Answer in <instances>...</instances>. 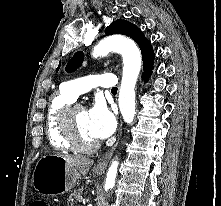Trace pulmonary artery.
Wrapping results in <instances>:
<instances>
[{
    "instance_id": "1",
    "label": "pulmonary artery",
    "mask_w": 221,
    "mask_h": 206,
    "mask_svg": "<svg viewBox=\"0 0 221 206\" xmlns=\"http://www.w3.org/2000/svg\"><path fill=\"white\" fill-rule=\"evenodd\" d=\"M118 80L114 74H93L63 84V90L74 100L94 87L113 88Z\"/></svg>"
}]
</instances>
